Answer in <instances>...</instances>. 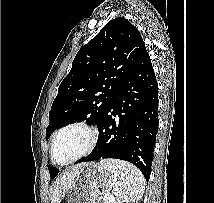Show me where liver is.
<instances>
[{"label":"liver","instance_id":"obj_1","mask_svg":"<svg viewBox=\"0 0 214 203\" xmlns=\"http://www.w3.org/2000/svg\"><path fill=\"white\" fill-rule=\"evenodd\" d=\"M83 164L67 168L53 183L51 203H58L62 194L72 186Z\"/></svg>","mask_w":214,"mask_h":203}]
</instances>
